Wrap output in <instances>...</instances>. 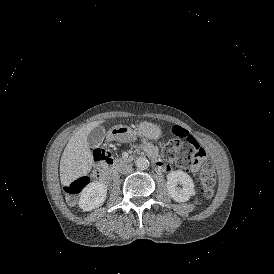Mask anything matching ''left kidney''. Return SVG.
<instances>
[{
    "label": "left kidney",
    "mask_w": 274,
    "mask_h": 274,
    "mask_svg": "<svg viewBox=\"0 0 274 274\" xmlns=\"http://www.w3.org/2000/svg\"><path fill=\"white\" fill-rule=\"evenodd\" d=\"M167 193L176 202L188 201L191 196L195 195L192 178L180 170L170 172L167 175Z\"/></svg>",
    "instance_id": "left-kidney-1"
}]
</instances>
